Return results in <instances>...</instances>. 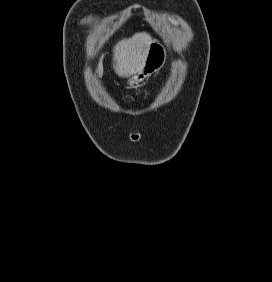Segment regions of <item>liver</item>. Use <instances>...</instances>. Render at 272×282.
Returning <instances> with one entry per match:
<instances>
[{
    "mask_svg": "<svg viewBox=\"0 0 272 282\" xmlns=\"http://www.w3.org/2000/svg\"><path fill=\"white\" fill-rule=\"evenodd\" d=\"M151 36L148 33H136L128 39L119 41L113 49V68L120 77L136 74L144 65L149 51ZM97 72L102 77V62Z\"/></svg>",
    "mask_w": 272,
    "mask_h": 282,
    "instance_id": "1",
    "label": "liver"
}]
</instances>
